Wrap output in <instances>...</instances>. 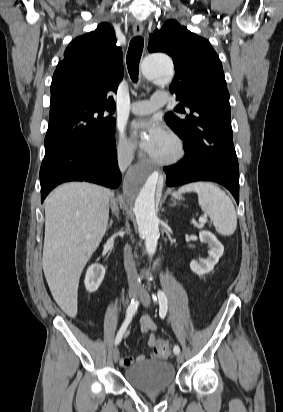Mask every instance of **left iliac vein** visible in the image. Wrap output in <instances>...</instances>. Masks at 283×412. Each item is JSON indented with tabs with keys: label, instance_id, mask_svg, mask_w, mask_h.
Wrapping results in <instances>:
<instances>
[{
	"label": "left iliac vein",
	"instance_id": "obj_1",
	"mask_svg": "<svg viewBox=\"0 0 283 412\" xmlns=\"http://www.w3.org/2000/svg\"><path fill=\"white\" fill-rule=\"evenodd\" d=\"M140 300H141V303L144 305V306H149L150 305V302H151V298H150V295H149V293H148V291L144 288V287H142L141 289H140ZM183 360H184V356H183V354H177V362L178 363H182L183 362Z\"/></svg>",
	"mask_w": 283,
	"mask_h": 412
}]
</instances>
